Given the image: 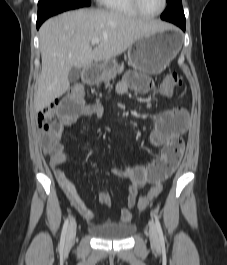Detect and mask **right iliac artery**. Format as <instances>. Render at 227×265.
<instances>
[{"label":"right iliac artery","instance_id":"1","mask_svg":"<svg viewBox=\"0 0 227 265\" xmlns=\"http://www.w3.org/2000/svg\"><path fill=\"white\" fill-rule=\"evenodd\" d=\"M69 224V218H67L64 222L63 228H62V233H61V240H60V247L63 248L66 240V233H67V228Z\"/></svg>","mask_w":227,"mask_h":265}]
</instances>
